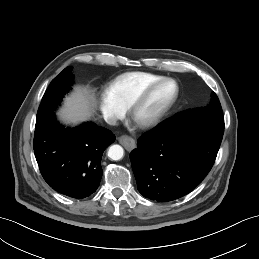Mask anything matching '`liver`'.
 Instances as JSON below:
<instances>
[{
    "label": "liver",
    "mask_w": 259,
    "mask_h": 259,
    "mask_svg": "<svg viewBox=\"0 0 259 259\" xmlns=\"http://www.w3.org/2000/svg\"><path fill=\"white\" fill-rule=\"evenodd\" d=\"M94 104V96L89 90L77 87L71 96L65 99L64 107L58 115L63 121L76 124L92 116Z\"/></svg>",
    "instance_id": "liver-1"
}]
</instances>
